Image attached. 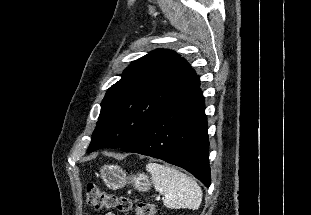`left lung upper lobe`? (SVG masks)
Returning a JSON list of instances; mask_svg holds the SVG:
<instances>
[{
	"mask_svg": "<svg viewBox=\"0 0 311 215\" xmlns=\"http://www.w3.org/2000/svg\"><path fill=\"white\" fill-rule=\"evenodd\" d=\"M196 75L191 65L171 50L156 49L131 63L106 92L88 153L126 146Z\"/></svg>",
	"mask_w": 311,
	"mask_h": 215,
	"instance_id": "1",
	"label": "left lung upper lobe"
}]
</instances>
